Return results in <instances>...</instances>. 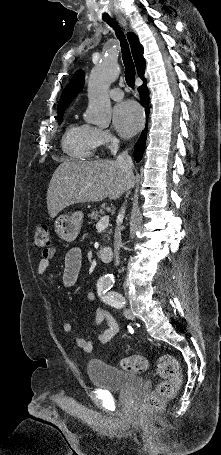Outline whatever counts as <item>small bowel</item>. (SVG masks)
Here are the masks:
<instances>
[{
    "label": "small bowel",
    "mask_w": 221,
    "mask_h": 455,
    "mask_svg": "<svg viewBox=\"0 0 221 455\" xmlns=\"http://www.w3.org/2000/svg\"><path fill=\"white\" fill-rule=\"evenodd\" d=\"M56 249L51 247L45 249L41 253V258L38 261L36 272L39 276H43L49 266L50 260L54 257ZM82 268V253L79 249L73 248L68 251L65 257L64 270H63V282L65 286L71 287L77 281V278L80 274ZM88 299L90 301L96 300V295L94 292L88 293ZM106 323L107 327L105 330L100 332L95 339H85L79 337L76 339V345L83 349L85 352H92L95 344L102 343L105 344L109 342L119 331V326L115 318L105 309L97 307L95 310V325L100 326L102 323ZM64 332H71L73 326L70 322H64L62 325Z\"/></svg>",
    "instance_id": "c3829d8e"
}]
</instances>
